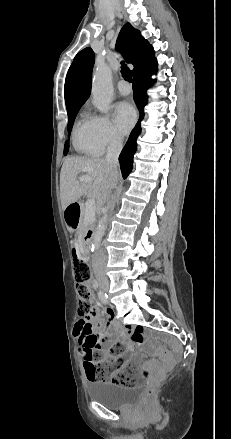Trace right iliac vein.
Wrapping results in <instances>:
<instances>
[{"instance_id": "63e3f726", "label": "right iliac vein", "mask_w": 231, "mask_h": 439, "mask_svg": "<svg viewBox=\"0 0 231 439\" xmlns=\"http://www.w3.org/2000/svg\"><path fill=\"white\" fill-rule=\"evenodd\" d=\"M104 290H105V291L108 290V285H104Z\"/></svg>"}]
</instances>
